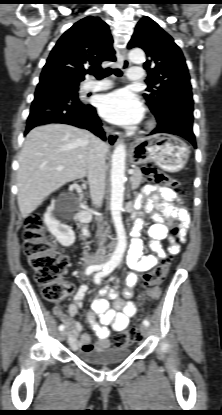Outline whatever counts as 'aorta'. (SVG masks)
<instances>
[{
	"label": "aorta",
	"mask_w": 222,
	"mask_h": 415,
	"mask_svg": "<svg viewBox=\"0 0 222 415\" xmlns=\"http://www.w3.org/2000/svg\"><path fill=\"white\" fill-rule=\"evenodd\" d=\"M129 59L135 64H142L145 61V54L141 49H133L129 52ZM125 159L126 148L123 143H120L113 151L111 165L110 210L118 239L116 249L109 261L113 265L121 262L127 247L126 233L121 217L124 200Z\"/></svg>",
	"instance_id": "762f6f07"
}]
</instances>
